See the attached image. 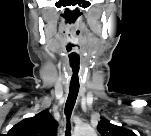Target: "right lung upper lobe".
Instances as JSON below:
<instances>
[{
	"instance_id": "obj_1",
	"label": "right lung upper lobe",
	"mask_w": 151,
	"mask_h": 136,
	"mask_svg": "<svg viewBox=\"0 0 151 136\" xmlns=\"http://www.w3.org/2000/svg\"><path fill=\"white\" fill-rule=\"evenodd\" d=\"M57 122L48 111L26 118L14 125L9 133L12 136H56Z\"/></svg>"
}]
</instances>
